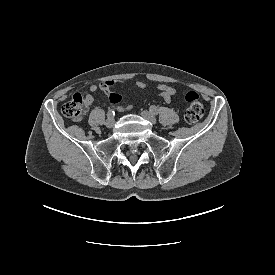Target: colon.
I'll list each match as a JSON object with an SVG mask.
<instances>
[{
	"label": "colon",
	"instance_id": "colon-1",
	"mask_svg": "<svg viewBox=\"0 0 275 275\" xmlns=\"http://www.w3.org/2000/svg\"><path fill=\"white\" fill-rule=\"evenodd\" d=\"M187 109L184 114L187 123H196L204 114L203 105L199 99V95L192 90L181 89ZM90 103L85 95L77 93L62 106V113L73 121H81L88 111Z\"/></svg>",
	"mask_w": 275,
	"mask_h": 275
}]
</instances>
